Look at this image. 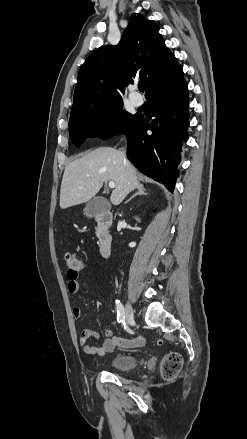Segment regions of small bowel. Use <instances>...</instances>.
I'll use <instances>...</instances> for the list:
<instances>
[{
    "mask_svg": "<svg viewBox=\"0 0 247 439\" xmlns=\"http://www.w3.org/2000/svg\"><path fill=\"white\" fill-rule=\"evenodd\" d=\"M79 272H74L68 270V290L71 293H77L80 290V283L78 280ZM73 316L79 318L81 316V309L79 307H74L72 310ZM104 336L106 339L100 345H90L88 341L92 338H99V333L92 329H83L80 334V344L86 354L103 356L106 353L113 351L116 347L133 348L141 346L144 343L142 337L136 338H121L113 335L111 330H105Z\"/></svg>",
    "mask_w": 247,
    "mask_h": 439,
    "instance_id": "obj_1",
    "label": "small bowel"
}]
</instances>
